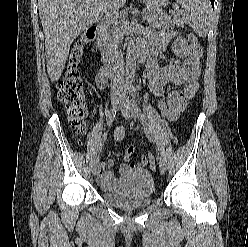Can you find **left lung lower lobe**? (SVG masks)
Listing matches in <instances>:
<instances>
[{"mask_svg":"<svg viewBox=\"0 0 248 247\" xmlns=\"http://www.w3.org/2000/svg\"><path fill=\"white\" fill-rule=\"evenodd\" d=\"M211 1V4H212V7H214V0H210Z\"/></svg>","mask_w":248,"mask_h":247,"instance_id":"left-lung-lower-lobe-1","label":"left lung lower lobe"}]
</instances>
